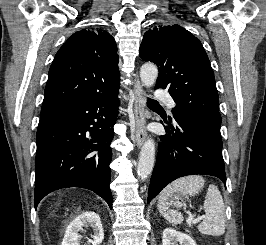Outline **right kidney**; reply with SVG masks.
<instances>
[{"label": "right kidney", "mask_w": 266, "mask_h": 245, "mask_svg": "<svg viewBox=\"0 0 266 245\" xmlns=\"http://www.w3.org/2000/svg\"><path fill=\"white\" fill-rule=\"evenodd\" d=\"M84 227H91L94 231L92 245H100L104 239V231L99 215L93 211H85V213L78 215L74 221H71L70 245H80V233Z\"/></svg>", "instance_id": "ca27d5eb"}]
</instances>
